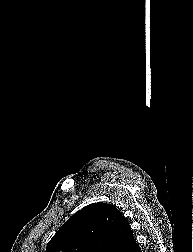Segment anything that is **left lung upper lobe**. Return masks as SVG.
<instances>
[{"label":"left lung upper lobe","instance_id":"5c2ea615","mask_svg":"<svg viewBox=\"0 0 193 252\" xmlns=\"http://www.w3.org/2000/svg\"><path fill=\"white\" fill-rule=\"evenodd\" d=\"M132 238L129 223L114 205L93 203L62 225L45 252H123Z\"/></svg>","mask_w":193,"mask_h":252}]
</instances>
